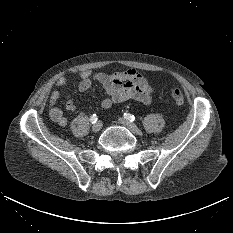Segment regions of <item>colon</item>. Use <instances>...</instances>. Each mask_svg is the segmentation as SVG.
Masks as SVG:
<instances>
[{"instance_id": "colon-1", "label": "colon", "mask_w": 233, "mask_h": 233, "mask_svg": "<svg viewBox=\"0 0 233 233\" xmlns=\"http://www.w3.org/2000/svg\"><path fill=\"white\" fill-rule=\"evenodd\" d=\"M171 97L177 105H183L185 103V97L183 93L178 89H172L170 91Z\"/></svg>"}]
</instances>
